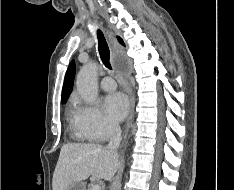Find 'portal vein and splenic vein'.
<instances>
[{
	"label": "portal vein and splenic vein",
	"mask_w": 234,
	"mask_h": 190,
	"mask_svg": "<svg viewBox=\"0 0 234 190\" xmlns=\"http://www.w3.org/2000/svg\"><path fill=\"white\" fill-rule=\"evenodd\" d=\"M92 190H101V187L99 184H96L92 187Z\"/></svg>",
	"instance_id": "portal-vein-and-splenic-vein-1"
}]
</instances>
